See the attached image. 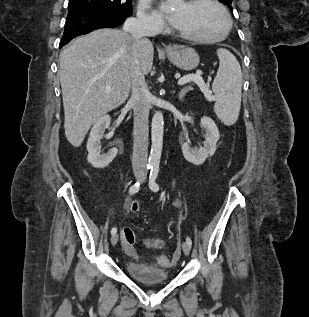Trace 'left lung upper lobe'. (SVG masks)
<instances>
[{
  "mask_svg": "<svg viewBox=\"0 0 309 317\" xmlns=\"http://www.w3.org/2000/svg\"><path fill=\"white\" fill-rule=\"evenodd\" d=\"M219 1L227 5L230 8V10L233 11L231 6L232 0H219Z\"/></svg>",
  "mask_w": 309,
  "mask_h": 317,
  "instance_id": "left-lung-upper-lobe-1",
  "label": "left lung upper lobe"
}]
</instances>
